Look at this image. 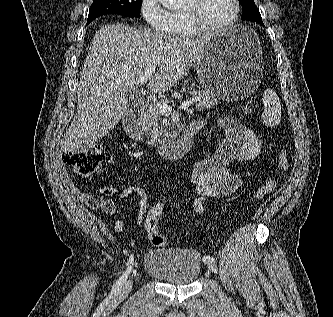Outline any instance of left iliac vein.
<instances>
[{
  "label": "left iliac vein",
  "instance_id": "obj_1",
  "mask_svg": "<svg viewBox=\"0 0 333 317\" xmlns=\"http://www.w3.org/2000/svg\"><path fill=\"white\" fill-rule=\"evenodd\" d=\"M208 269L210 271H212L213 273H217V271H218L217 265L214 262L208 263Z\"/></svg>",
  "mask_w": 333,
  "mask_h": 317
}]
</instances>
